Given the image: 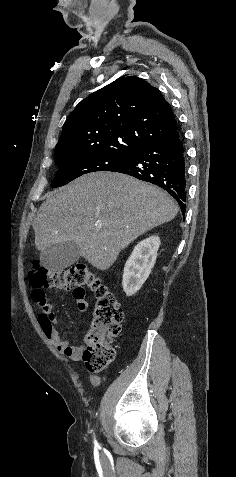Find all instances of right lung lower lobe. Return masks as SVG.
Listing matches in <instances>:
<instances>
[{"label": "right lung lower lobe", "mask_w": 236, "mask_h": 477, "mask_svg": "<svg viewBox=\"0 0 236 477\" xmlns=\"http://www.w3.org/2000/svg\"><path fill=\"white\" fill-rule=\"evenodd\" d=\"M112 172L124 173L161 187L176 199L182 213H185V149L178 128L162 141L134 153L125 164Z\"/></svg>", "instance_id": "98d812e1"}]
</instances>
